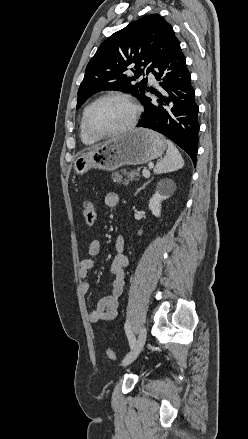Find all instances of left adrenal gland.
<instances>
[{
	"mask_svg": "<svg viewBox=\"0 0 248 439\" xmlns=\"http://www.w3.org/2000/svg\"><path fill=\"white\" fill-rule=\"evenodd\" d=\"M151 181H152V180L147 181L142 187H140V188L136 191L135 195H137L142 189H144L145 186H146L147 184H149Z\"/></svg>",
	"mask_w": 248,
	"mask_h": 439,
	"instance_id": "a2214340",
	"label": "left adrenal gland"
}]
</instances>
